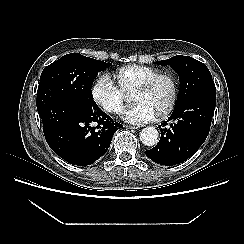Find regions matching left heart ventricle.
<instances>
[{
  "label": "left heart ventricle",
  "mask_w": 244,
  "mask_h": 244,
  "mask_svg": "<svg viewBox=\"0 0 244 244\" xmlns=\"http://www.w3.org/2000/svg\"><path fill=\"white\" fill-rule=\"evenodd\" d=\"M170 97L171 83L168 79H162L150 91L134 92L132 95V102L134 104L144 103L150 106L157 115L166 108Z\"/></svg>",
  "instance_id": "obj_1"
}]
</instances>
